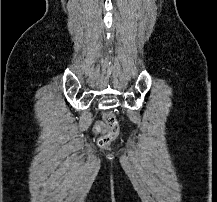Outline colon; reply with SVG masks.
<instances>
[{
	"label": "colon",
	"instance_id": "1",
	"mask_svg": "<svg viewBox=\"0 0 217 202\" xmlns=\"http://www.w3.org/2000/svg\"><path fill=\"white\" fill-rule=\"evenodd\" d=\"M102 119H105L107 125L112 128V133H107L106 137H97L96 141L100 146L105 147L112 141V138H116L117 134H119L120 125L117 124L115 116L111 112H107L102 114Z\"/></svg>",
	"mask_w": 217,
	"mask_h": 202
}]
</instances>
